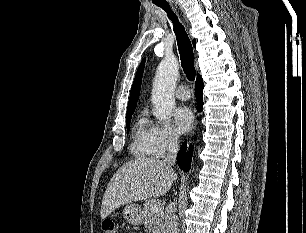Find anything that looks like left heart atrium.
<instances>
[{
	"mask_svg": "<svg viewBox=\"0 0 306 233\" xmlns=\"http://www.w3.org/2000/svg\"><path fill=\"white\" fill-rule=\"evenodd\" d=\"M173 119L175 123V128L180 134L188 132L194 124L193 114L186 106H181L177 108L174 111Z\"/></svg>",
	"mask_w": 306,
	"mask_h": 233,
	"instance_id": "1",
	"label": "left heart atrium"
}]
</instances>
